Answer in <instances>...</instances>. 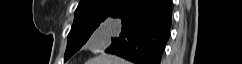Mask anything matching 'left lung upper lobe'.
<instances>
[{
	"instance_id": "left-lung-upper-lobe-1",
	"label": "left lung upper lobe",
	"mask_w": 242,
	"mask_h": 64,
	"mask_svg": "<svg viewBox=\"0 0 242 64\" xmlns=\"http://www.w3.org/2000/svg\"><path fill=\"white\" fill-rule=\"evenodd\" d=\"M125 0H81L75 10L74 22L68 34L64 61L78 51L92 32Z\"/></svg>"
}]
</instances>
